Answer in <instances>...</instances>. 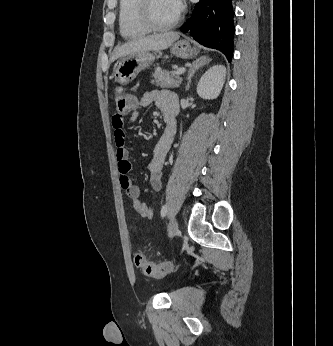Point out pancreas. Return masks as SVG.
<instances>
[{"label":"pancreas","instance_id":"cf45deb5","mask_svg":"<svg viewBox=\"0 0 333 346\" xmlns=\"http://www.w3.org/2000/svg\"><path fill=\"white\" fill-rule=\"evenodd\" d=\"M152 77L154 79L151 80V83H155L161 88H178L182 82L181 77L179 75H176L175 71H163L159 67L155 69Z\"/></svg>","mask_w":333,"mask_h":346}]
</instances>
